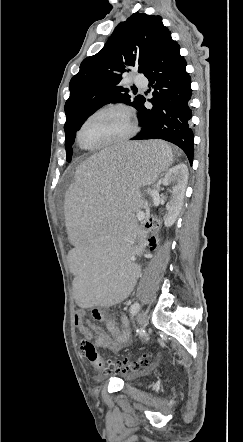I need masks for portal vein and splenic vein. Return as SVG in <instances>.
Returning a JSON list of instances; mask_svg holds the SVG:
<instances>
[{
	"label": "portal vein and splenic vein",
	"mask_w": 243,
	"mask_h": 442,
	"mask_svg": "<svg viewBox=\"0 0 243 442\" xmlns=\"http://www.w3.org/2000/svg\"><path fill=\"white\" fill-rule=\"evenodd\" d=\"M150 194H151L152 196H157V195H158V192H157L156 190H151V191H150Z\"/></svg>",
	"instance_id": "obj_1"
}]
</instances>
